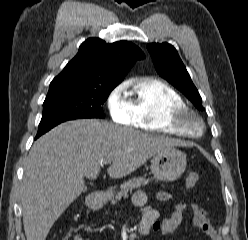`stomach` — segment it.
<instances>
[{
	"mask_svg": "<svg viewBox=\"0 0 248 240\" xmlns=\"http://www.w3.org/2000/svg\"><path fill=\"white\" fill-rule=\"evenodd\" d=\"M186 155L176 149L156 154L151 160V171L160 181H174L178 179L186 168Z\"/></svg>",
	"mask_w": 248,
	"mask_h": 240,
	"instance_id": "stomach-1",
	"label": "stomach"
}]
</instances>
